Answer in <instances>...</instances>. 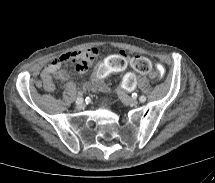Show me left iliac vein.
<instances>
[{
  "label": "left iliac vein",
  "mask_w": 215,
  "mask_h": 183,
  "mask_svg": "<svg viewBox=\"0 0 215 183\" xmlns=\"http://www.w3.org/2000/svg\"><path fill=\"white\" fill-rule=\"evenodd\" d=\"M116 92L125 104L136 105L138 103V100L136 98L129 97L121 88H117Z\"/></svg>",
  "instance_id": "4c4485c4"
}]
</instances>
